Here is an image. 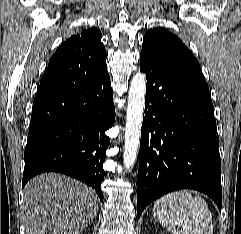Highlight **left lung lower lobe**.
<instances>
[{
  "mask_svg": "<svg viewBox=\"0 0 241 234\" xmlns=\"http://www.w3.org/2000/svg\"><path fill=\"white\" fill-rule=\"evenodd\" d=\"M147 79L141 129L137 215L162 195L189 188L221 210V161L214 108L206 82L140 54Z\"/></svg>",
  "mask_w": 241,
  "mask_h": 234,
  "instance_id": "left-lung-lower-lobe-1",
  "label": "left lung lower lobe"
}]
</instances>
